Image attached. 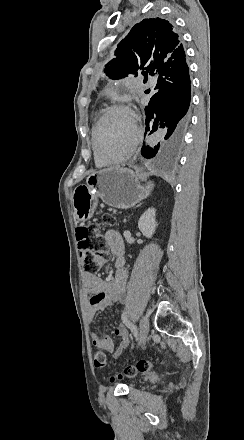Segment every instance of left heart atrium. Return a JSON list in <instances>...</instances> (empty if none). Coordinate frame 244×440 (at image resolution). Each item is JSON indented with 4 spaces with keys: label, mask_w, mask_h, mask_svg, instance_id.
<instances>
[{
    "label": "left heart atrium",
    "mask_w": 244,
    "mask_h": 440,
    "mask_svg": "<svg viewBox=\"0 0 244 440\" xmlns=\"http://www.w3.org/2000/svg\"><path fill=\"white\" fill-rule=\"evenodd\" d=\"M131 116H132V120H133V122H134V118H137V116H136V115H132V114H131ZM134 125H135V128H136V131H135L134 137H136V136L138 135V133H139V129L137 128V126H136L135 123H134Z\"/></svg>",
    "instance_id": "left-heart-atrium-1"
}]
</instances>
